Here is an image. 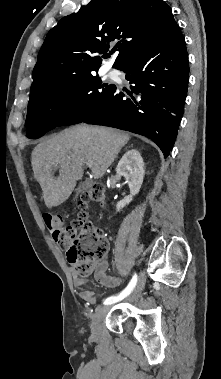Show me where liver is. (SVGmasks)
Instances as JSON below:
<instances>
[{
  "label": "liver",
  "instance_id": "obj_1",
  "mask_svg": "<svg viewBox=\"0 0 221 379\" xmlns=\"http://www.w3.org/2000/svg\"><path fill=\"white\" fill-rule=\"evenodd\" d=\"M129 134L113 128L76 126L41 142L32 151L31 164L48 208L61 205L83 177L84 164L101 178L129 141ZM59 176L53 177V169Z\"/></svg>",
  "mask_w": 221,
  "mask_h": 379
}]
</instances>
